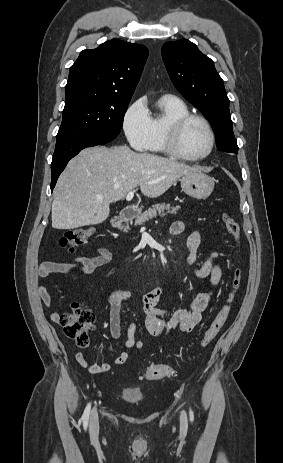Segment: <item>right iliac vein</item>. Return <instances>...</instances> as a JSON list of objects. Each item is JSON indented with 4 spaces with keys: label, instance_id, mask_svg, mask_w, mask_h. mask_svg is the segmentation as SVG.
<instances>
[{
    "label": "right iliac vein",
    "instance_id": "1",
    "mask_svg": "<svg viewBox=\"0 0 283 463\" xmlns=\"http://www.w3.org/2000/svg\"><path fill=\"white\" fill-rule=\"evenodd\" d=\"M99 429L98 413L96 409H93L90 417V432L92 436H96Z\"/></svg>",
    "mask_w": 283,
    "mask_h": 463
}]
</instances>
